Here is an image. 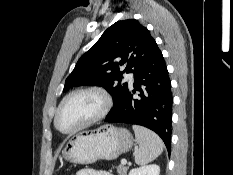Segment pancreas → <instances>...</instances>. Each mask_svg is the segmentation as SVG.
Masks as SVG:
<instances>
[{"label":"pancreas","instance_id":"obj_1","mask_svg":"<svg viewBox=\"0 0 233 175\" xmlns=\"http://www.w3.org/2000/svg\"><path fill=\"white\" fill-rule=\"evenodd\" d=\"M127 171H128V168L124 165H119L117 167V172L119 173V175H127Z\"/></svg>","mask_w":233,"mask_h":175}]
</instances>
